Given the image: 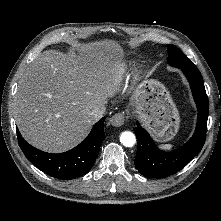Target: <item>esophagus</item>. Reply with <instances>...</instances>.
<instances>
[{"mask_svg":"<svg viewBox=\"0 0 221 221\" xmlns=\"http://www.w3.org/2000/svg\"><path fill=\"white\" fill-rule=\"evenodd\" d=\"M124 121L125 114L123 112L116 113L110 118L111 124L116 127L122 126L124 124Z\"/></svg>","mask_w":221,"mask_h":221,"instance_id":"obj_1","label":"esophagus"}]
</instances>
